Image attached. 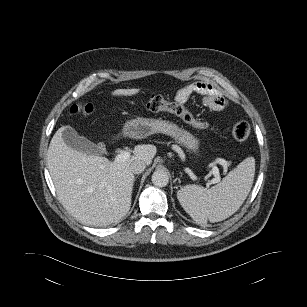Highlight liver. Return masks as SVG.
I'll use <instances>...</instances> for the list:
<instances>
[{
  "label": "liver",
  "instance_id": "obj_1",
  "mask_svg": "<svg viewBox=\"0 0 307 307\" xmlns=\"http://www.w3.org/2000/svg\"><path fill=\"white\" fill-rule=\"evenodd\" d=\"M140 89H116L112 96H133ZM63 127L54 134L47 166L64 208L81 223L105 227L118 222L129 211L134 184L130 165L141 160L152 163L154 145L135 146L133 155L123 162L88 155L69 147L62 138Z\"/></svg>",
  "mask_w": 307,
  "mask_h": 307
}]
</instances>
